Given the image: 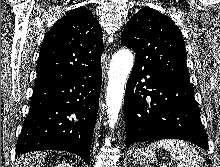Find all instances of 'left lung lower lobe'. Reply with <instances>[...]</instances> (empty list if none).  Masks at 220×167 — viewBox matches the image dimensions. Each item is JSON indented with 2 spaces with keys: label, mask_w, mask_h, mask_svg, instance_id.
<instances>
[{
  "label": "left lung lower lobe",
  "mask_w": 220,
  "mask_h": 167,
  "mask_svg": "<svg viewBox=\"0 0 220 167\" xmlns=\"http://www.w3.org/2000/svg\"><path fill=\"white\" fill-rule=\"evenodd\" d=\"M199 114L189 78L135 63L124 98L126 146L173 138L207 150V135Z\"/></svg>",
  "instance_id": "0a47b994"
}]
</instances>
